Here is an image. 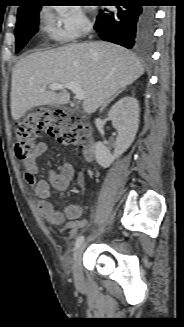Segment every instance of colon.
Returning a JSON list of instances; mask_svg holds the SVG:
<instances>
[{
    "label": "colon",
    "instance_id": "obj_1",
    "mask_svg": "<svg viewBox=\"0 0 184 327\" xmlns=\"http://www.w3.org/2000/svg\"><path fill=\"white\" fill-rule=\"evenodd\" d=\"M45 131L60 143L84 147L87 144L90 127L62 109H39L27 113L12 127L16 156L25 160L36 146V140Z\"/></svg>",
    "mask_w": 184,
    "mask_h": 327
}]
</instances>
